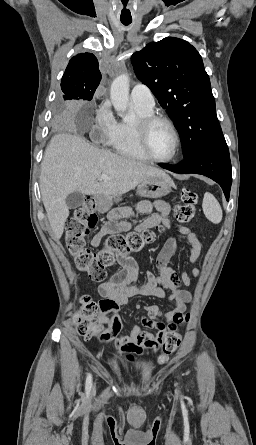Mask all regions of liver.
Segmentation results:
<instances>
[{
  "label": "liver",
  "mask_w": 256,
  "mask_h": 445,
  "mask_svg": "<svg viewBox=\"0 0 256 445\" xmlns=\"http://www.w3.org/2000/svg\"><path fill=\"white\" fill-rule=\"evenodd\" d=\"M102 174L108 179L100 180ZM156 175L167 176L148 164L96 148L75 134L54 135L41 163L40 190L56 240L69 216L66 198L70 193L121 196Z\"/></svg>",
  "instance_id": "1"
}]
</instances>
